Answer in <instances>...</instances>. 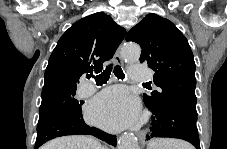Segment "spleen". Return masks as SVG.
Wrapping results in <instances>:
<instances>
[{"instance_id":"obj_1","label":"spleen","mask_w":227,"mask_h":149,"mask_svg":"<svg viewBox=\"0 0 227 149\" xmlns=\"http://www.w3.org/2000/svg\"><path fill=\"white\" fill-rule=\"evenodd\" d=\"M148 149H192V146L184 141L156 138L149 142Z\"/></svg>"}]
</instances>
